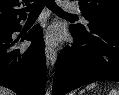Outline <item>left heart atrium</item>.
I'll return each instance as SVG.
<instances>
[{"label": "left heart atrium", "instance_id": "39dd6f15", "mask_svg": "<svg viewBox=\"0 0 119 95\" xmlns=\"http://www.w3.org/2000/svg\"><path fill=\"white\" fill-rule=\"evenodd\" d=\"M45 39L49 44H56L60 39V29L56 26L49 28L46 31Z\"/></svg>", "mask_w": 119, "mask_h": 95}]
</instances>
